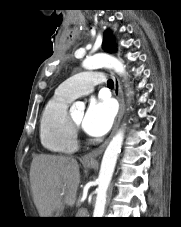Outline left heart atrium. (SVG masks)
Segmentation results:
<instances>
[{
    "label": "left heart atrium",
    "mask_w": 181,
    "mask_h": 227,
    "mask_svg": "<svg viewBox=\"0 0 181 227\" xmlns=\"http://www.w3.org/2000/svg\"><path fill=\"white\" fill-rule=\"evenodd\" d=\"M114 114V106L110 100H93L86 110L82 127L89 135L102 136L110 129Z\"/></svg>",
    "instance_id": "1"
}]
</instances>
